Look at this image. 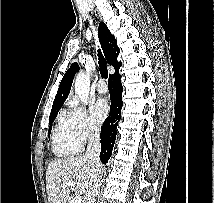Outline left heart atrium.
I'll return each instance as SVG.
<instances>
[{
    "label": "left heart atrium",
    "mask_w": 214,
    "mask_h": 203,
    "mask_svg": "<svg viewBox=\"0 0 214 203\" xmlns=\"http://www.w3.org/2000/svg\"><path fill=\"white\" fill-rule=\"evenodd\" d=\"M109 107L105 99L100 98L95 101L91 106V113L93 119L97 123H101L108 115Z\"/></svg>",
    "instance_id": "1"
}]
</instances>
